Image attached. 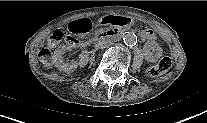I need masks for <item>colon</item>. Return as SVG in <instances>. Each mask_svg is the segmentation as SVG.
Returning <instances> with one entry per match:
<instances>
[{"label": "colon", "instance_id": "5ec220e1", "mask_svg": "<svg viewBox=\"0 0 207 123\" xmlns=\"http://www.w3.org/2000/svg\"><path fill=\"white\" fill-rule=\"evenodd\" d=\"M61 37H62V34H58L56 36V39L49 44L47 49H49L54 44V42L58 40V38H61ZM46 54H47L46 51H43L41 53L42 61L45 64H50V58ZM171 67H172V59L169 56H164L158 61L157 64L150 66L146 69V75L151 78L158 77L168 72L171 69Z\"/></svg>", "mask_w": 207, "mask_h": 123}]
</instances>
